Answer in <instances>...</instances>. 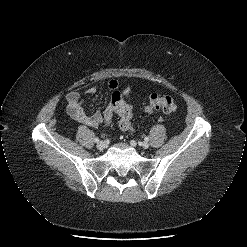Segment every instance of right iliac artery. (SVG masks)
<instances>
[{
	"instance_id": "82829eb1",
	"label": "right iliac artery",
	"mask_w": 247,
	"mask_h": 247,
	"mask_svg": "<svg viewBox=\"0 0 247 247\" xmlns=\"http://www.w3.org/2000/svg\"><path fill=\"white\" fill-rule=\"evenodd\" d=\"M94 141L97 143L99 142V138H95Z\"/></svg>"
}]
</instances>
